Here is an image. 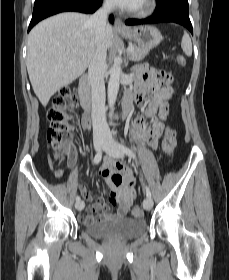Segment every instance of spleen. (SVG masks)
Instances as JSON below:
<instances>
[{
	"mask_svg": "<svg viewBox=\"0 0 229 280\" xmlns=\"http://www.w3.org/2000/svg\"><path fill=\"white\" fill-rule=\"evenodd\" d=\"M181 47L187 56L192 55V43H191V39L187 33H184V35L182 37Z\"/></svg>",
	"mask_w": 229,
	"mask_h": 280,
	"instance_id": "3e777b00",
	"label": "spleen"
}]
</instances>
